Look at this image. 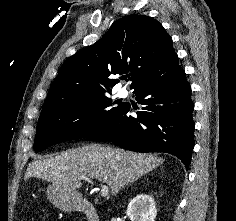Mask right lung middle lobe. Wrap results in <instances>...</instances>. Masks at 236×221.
Instances as JSON below:
<instances>
[{"label":"right lung middle lobe","mask_w":236,"mask_h":221,"mask_svg":"<svg viewBox=\"0 0 236 221\" xmlns=\"http://www.w3.org/2000/svg\"><path fill=\"white\" fill-rule=\"evenodd\" d=\"M125 104L122 102L109 109L111 101L107 102L105 96L97 94L43 110L37 124L34 149L40 152L63 141L85 138L102 129Z\"/></svg>","instance_id":"1"}]
</instances>
